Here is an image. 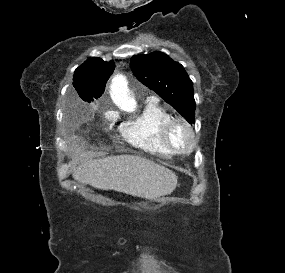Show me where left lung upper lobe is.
<instances>
[{
	"instance_id": "obj_1",
	"label": "left lung upper lobe",
	"mask_w": 285,
	"mask_h": 273,
	"mask_svg": "<svg viewBox=\"0 0 285 273\" xmlns=\"http://www.w3.org/2000/svg\"><path fill=\"white\" fill-rule=\"evenodd\" d=\"M131 69L147 87L174 107L188 122H195L193 82L183 67L162 52L136 55Z\"/></svg>"
}]
</instances>
